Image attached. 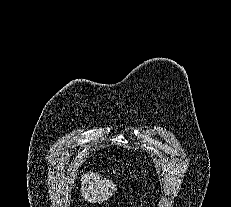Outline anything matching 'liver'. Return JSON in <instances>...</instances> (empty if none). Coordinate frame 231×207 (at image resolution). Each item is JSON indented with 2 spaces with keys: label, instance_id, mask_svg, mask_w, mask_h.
I'll return each mask as SVG.
<instances>
[{
  "label": "liver",
  "instance_id": "liver-1",
  "mask_svg": "<svg viewBox=\"0 0 231 207\" xmlns=\"http://www.w3.org/2000/svg\"><path fill=\"white\" fill-rule=\"evenodd\" d=\"M81 191L86 201L90 203L103 202L109 199L116 191L112 180L102 177L97 172H87L81 178Z\"/></svg>",
  "mask_w": 231,
  "mask_h": 207
}]
</instances>
